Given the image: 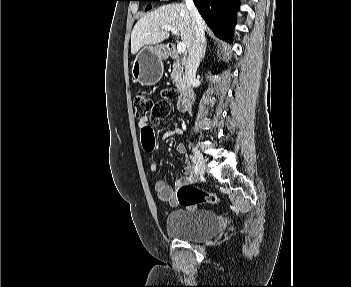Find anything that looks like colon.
Here are the masks:
<instances>
[{
	"label": "colon",
	"mask_w": 351,
	"mask_h": 287,
	"mask_svg": "<svg viewBox=\"0 0 351 287\" xmlns=\"http://www.w3.org/2000/svg\"><path fill=\"white\" fill-rule=\"evenodd\" d=\"M177 97L178 94L175 90H164L161 93V100L154 102L149 94L138 92L134 97L136 115L142 118L149 114L153 124H158L168 116L171 103ZM177 200L184 207H191L198 204H215L220 201L217 195L187 184L179 187Z\"/></svg>",
	"instance_id": "1"
}]
</instances>
